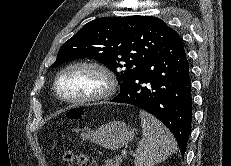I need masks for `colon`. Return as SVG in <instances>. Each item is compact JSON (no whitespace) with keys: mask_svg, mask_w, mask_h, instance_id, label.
Returning <instances> with one entry per match:
<instances>
[{"mask_svg":"<svg viewBox=\"0 0 231 166\" xmlns=\"http://www.w3.org/2000/svg\"><path fill=\"white\" fill-rule=\"evenodd\" d=\"M67 114L69 118L77 119L82 116L83 112L79 109H72ZM63 158L67 166H96L95 161L91 157L71 151L65 152Z\"/></svg>","mask_w":231,"mask_h":166,"instance_id":"obj_1","label":"colon"}]
</instances>
